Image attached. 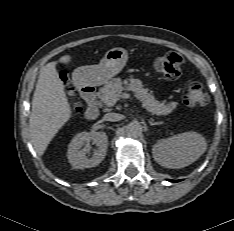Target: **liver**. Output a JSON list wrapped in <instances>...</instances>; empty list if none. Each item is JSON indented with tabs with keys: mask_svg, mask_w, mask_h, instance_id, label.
<instances>
[{
	"mask_svg": "<svg viewBox=\"0 0 234 231\" xmlns=\"http://www.w3.org/2000/svg\"><path fill=\"white\" fill-rule=\"evenodd\" d=\"M69 55L59 59L69 63ZM57 62H50L40 70L32 99L29 117L31 142L38 155L42 156L54 136L72 117V109L64 85L56 70Z\"/></svg>",
	"mask_w": 234,
	"mask_h": 231,
	"instance_id": "liver-1",
	"label": "liver"
}]
</instances>
